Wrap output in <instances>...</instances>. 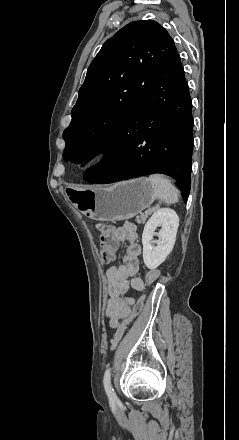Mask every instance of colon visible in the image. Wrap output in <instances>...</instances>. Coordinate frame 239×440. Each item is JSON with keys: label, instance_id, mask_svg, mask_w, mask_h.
<instances>
[{"label": "colon", "instance_id": "5ec220e1", "mask_svg": "<svg viewBox=\"0 0 239 440\" xmlns=\"http://www.w3.org/2000/svg\"><path fill=\"white\" fill-rule=\"evenodd\" d=\"M97 229L100 234L101 255L104 260L108 261L113 255L116 246L115 229L114 227L103 223L97 224ZM159 276H160L159 270L150 271L146 276V284L150 286ZM144 301H145V295H143L138 299V301L133 306V310L130 316L125 318L116 329L111 342L112 350L117 348L120 340L122 339L128 326L131 324L132 320L141 313L144 306Z\"/></svg>", "mask_w": 239, "mask_h": 440}]
</instances>
